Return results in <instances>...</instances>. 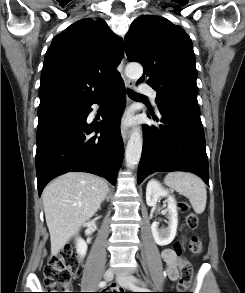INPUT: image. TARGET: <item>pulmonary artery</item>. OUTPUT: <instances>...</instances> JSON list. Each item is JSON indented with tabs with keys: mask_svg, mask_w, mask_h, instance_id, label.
<instances>
[{
	"mask_svg": "<svg viewBox=\"0 0 245 293\" xmlns=\"http://www.w3.org/2000/svg\"><path fill=\"white\" fill-rule=\"evenodd\" d=\"M140 88H141L140 91L143 94L150 95L153 98V100H154V104H156V102H155V99H156V91L154 89L146 88L144 84H142Z\"/></svg>",
	"mask_w": 245,
	"mask_h": 293,
	"instance_id": "pulmonary-artery-1",
	"label": "pulmonary artery"
}]
</instances>
